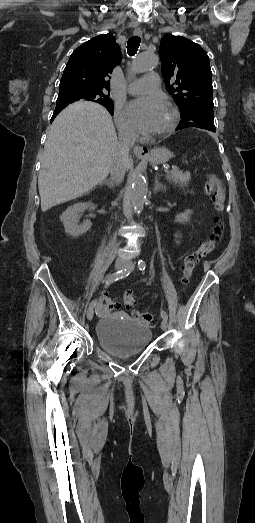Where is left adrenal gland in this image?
Returning <instances> with one entry per match:
<instances>
[{"instance_id":"left-adrenal-gland-1","label":"left adrenal gland","mask_w":255,"mask_h":523,"mask_svg":"<svg viewBox=\"0 0 255 523\" xmlns=\"http://www.w3.org/2000/svg\"><path fill=\"white\" fill-rule=\"evenodd\" d=\"M158 190H164V192H166V188L165 186H163V184H161V182H159V178H155L154 180V194H156V192H158Z\"/></svg>"}]
</instances>
